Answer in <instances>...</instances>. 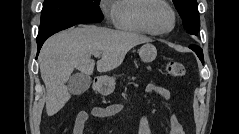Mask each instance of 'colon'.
Wrapping results in <instances>:
<instances>
[{
    "instance_id": "5ec220e1",
    "label": "colon",
    "mask_w": 239,
    "mask_h": 134,
    "mask_svg": "<svg viewBox=\"0 0 239 134\" xmlns=\"http://www.w3.org/2000/svg\"><path fill=\"white\" fill-rule=\"evenodd\" d=\"M165 73L169 78L179 79L185 74V67L177 61L169 62L165 67Z\"/></svg>"
}]
</instances>
